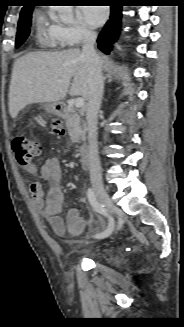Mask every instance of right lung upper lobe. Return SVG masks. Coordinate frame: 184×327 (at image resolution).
Masks as SVG:
<instances>
[{
	"label": "right lung upper lobe",
	"instance_id": "obj_1",
	"mask_svg": "<svg viewBox=\"0 0 184 327\" xmlns=\"http://www.w3.org/2000/svg\"><path fill=\"white\" fill-rule=\"evenodd\" d=\"M32 8H33V6H31V5H25V6L22 8L21 13L24 12V11L30 10V9H32Z\"/></svg>",
	"mask_w": 184,
	"mask_h": 327
}]
</instances>
